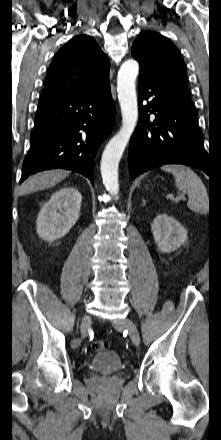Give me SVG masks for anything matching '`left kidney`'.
<instances>
[{
    "instance_id": "5707ae66",
    "label": "left kidney",
    "mask_w": 221,
    "mask_h": 440,
    "mask_svg": "<svg viewBox=\"0 0 221 440\" xmlns=\"http://www.w3.org/2000/svg\"><path fill=\"white\" fill-rule=\"evenodd\" d=\"M155 243L162 252H171L187 240L186 229L173 217L158 214L152 223Z\"/></svg>"
}]
</instances>
